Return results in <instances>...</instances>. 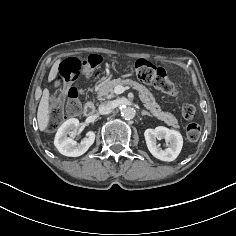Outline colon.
<instances>
[{
  "label": "colon",
  "mask_w": 236,
  "mask_h": 236,
  "mask_svg": "<svg viewBox=\"0 0 236 236\" xmlns=\"http://www.w3.org/2000/svg\"><path fill=\"white\" fill-rule=\"evenodd\" d=\"M100 64L96 56H89L86 59L67 58L59 66L58 74L55 78L56 84L69 83L75 81L82 73L88 75L90 71ZM132 73L136 78L144 83L152 84L170 96H177L178 90L170 81L169 72L160 66H156L146 59L137 60L131 67ZM67 101L63 106L59 98H55L50 112L48 129H56L66 118L79 115L82 111V104L79 100V89L72 86L67 89ZM195 107L187 104L182 107V116L185 119H192L195 115ZM201 128L197 123H191L186 128L188 139L194 141L200 136Z\"/></svg>",
  "instance_id": "obj_1"
}]
</instances>
